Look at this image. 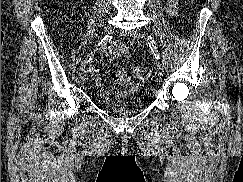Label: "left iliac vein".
Listing matches in <instances>:
<instances>
[{
	"label": "left iliac vein",
	"instance_id": "left-iliac-vein-1",
	"mask_svg": "<svg viewBox=\"0 0 243 182\" xmlns=\"http://www.w3.org/2000/svg\"><path fill=\"white\" fill-rule=\"evenodd\" d=\"M121 35L123 36H130L133 37L134 39H141L143 38V34H141L139 31H130V32H121ZM163 72V66L161 63H158L155 75L157 78H160Z\"/></svg>",
	"mask_w": 243,
	"mask_h": 182
}]
</instances>
